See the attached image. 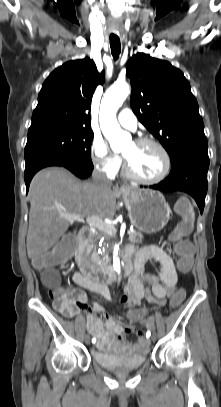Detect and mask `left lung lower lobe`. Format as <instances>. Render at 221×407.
<instances>
[{
	"label": "left lung lower lobe",
	"mask_w": 221,
	"mask_h": 407,
	"mask_svg": "<svg viewBox=\"0 0 221 407\" xmlns=\"http://www.w3.org/2000/svg\"><path fill=\"white\" fill-rule=\"evenodd\" d=\"M207 144H193L183 148L171 161L169 176L150 188L159 191H183L197 202L201 213L207 193L209 157Z\"/></svg>",
	"instance_id": "left-lung-lower-lobe-1"
}]
</instances>
